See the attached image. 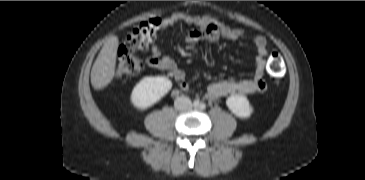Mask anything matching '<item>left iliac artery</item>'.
Wrapping results in <instances>:
<instances>
[{
    "mask_svg": "<svg viewBox=\"0 0 365 180\" xmlns=\"http://www.w3.org/2000/svg\"><path fill=\"white\" fill-rule=\"evenodd\" d=\"M200 110H204L206 108V105L204 103H201L199 105Z\"/></svg>",
    "mask_w": 365,
    "mask_h": 180,
    "instance_id": "obj_1",
    "label": "left iliac artery"
}]
</instances>
